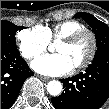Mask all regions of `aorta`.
<instances>
[{
    "mask_svg": "<svg viewBox=\"0 0 109 109\" xmlns=\"http://www.w3.org/2000/svg\"><path fill=\"white\" fill-rule=\"evenodd\" d=\"M47 91L52 96L60 95L62 91V84L60 81L52 80L47 84Z\"/></svg>",
    "mask_w": 109,
    "mask_h": 109,
    "instance_id": "obj_1",
    "label": "aorta"
}]
</instances>
